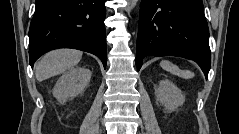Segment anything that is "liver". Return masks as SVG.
I'll return each instance as SVG.
<instances>
[{
	"label": "liver",
	"mask_w": 239,
	"mask_h": 134,
	"mask_svg": "<svg viewBox=\"0 0 239 134\" xmlns=\"http://www.w3.org/2000/svg\"><path fill=\"white\" fill-rule=\"evenodd\" d=\"M82 52L73 49H59L45 54L36 64V79L41 82L76 66Z\"/></svg>",
	"instance_id": "6515ba94"
}]
</instances>
